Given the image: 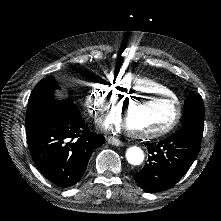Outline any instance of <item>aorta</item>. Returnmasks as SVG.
<instances>
[{
	"label": "aorta",
	"mask_w": 221,
	"mask_h": 221,
	"mask_svg": "<svg viewBox=\"0 0 221 221\" xmlns=\"http://www.w3.org/2000/svg\"><path fill=\"white\" fill-rule=\"evenodd\" d=\"M126 159L131 165H140L144 161V152L137 146L129 147L126 150Z\"/></svg>",
	"instance_id": "762f6f07"
}]
</instances>
